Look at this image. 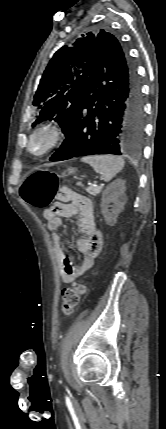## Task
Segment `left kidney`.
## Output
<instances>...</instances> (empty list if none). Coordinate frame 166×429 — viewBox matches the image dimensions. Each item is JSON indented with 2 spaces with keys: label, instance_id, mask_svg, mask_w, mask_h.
I'll return each mask as SVG.
<instances>
[{
  "label": "left kidney",
  "instance_id": "obj_1",
  "mask_svg": "<svg viewBox=\"0 0 166 429\" xmlns=\"http://www.w3.org/2000/svg\"><path fill=\"white\" fill-rule=\"evenodd\" d=\"M125 189V181L117 179L110 183L102 194L101 212L109 226H114L116 224L118 215L124 209V205L127 201ZM110 203H113L111 210L108 209Z\"/></svg>",
  "mask_w": 166,
  "mask_h": 429
}]
</instances>
